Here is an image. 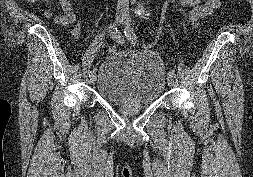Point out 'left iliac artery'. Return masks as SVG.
Here are the masks:
<instances>
[{"label": "left iliac artery", "mask_w": 253, "mask_h": 177, "mask_svg": "<svg viewBox=\"0 0 253 177\" xmlns=\"http://www.w3.org/2000/svg\"><path fill=\"white\" fill-rule=\"evenodd\" d=\"M124 34L125 36L127 37V39L132 43V44H139L140 41L138 39V37L136 36L134 30L132 27H129V26H126L125 27V30H124ZM168 76H172V77H175L176 74L173 70H170L168 72Z\"/></svg>", "instance_id": "left-iliac-artery-1"}]
</instances>
